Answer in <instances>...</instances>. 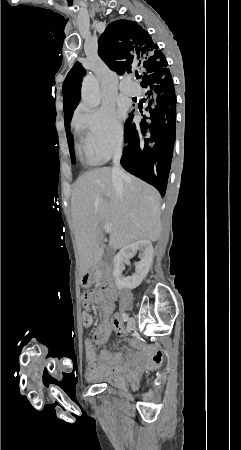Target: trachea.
I'll use <instances>...</instances> for the list:
<instances>
[{
	"label": "trachea",
	"instance_id": "3493384b",
	"mask_svg": "<svg viewBox=\"0 0 241 450\" xmlns=\"http://www.w3.org/2000/svg\"><path fill=\"white\" fill-rule=\"evenodd\" d=\"M136 78H137V79L140 78V75L136 74Z\"/></svg>",
	"mask_w": 241,
	"mask_h": 450
}]
</instances>
